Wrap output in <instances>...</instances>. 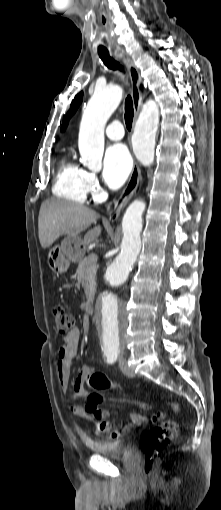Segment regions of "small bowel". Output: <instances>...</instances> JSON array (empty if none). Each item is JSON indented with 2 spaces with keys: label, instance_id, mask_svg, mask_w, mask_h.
<instances>
[{
  "label": "small bowel",
  "instance_id": "1",
  "mask_svg": "<svg viewBox=\"0 0 221 510\" xmlns=\"http://www.w3.org/2000/svg\"><path fill=\"white\" fill-rule=\"evenodd\" d=\"M80 341V331L78 328H74L69 335L64 339L63 345L58 349L57 352V376L59 386L63 392H67L70 385V374L73 366V362L77 356L78 346ZM95 372V366L88 363L82 367L79 371L74 384L73 389L77 396H86L91 389L88 385L89 376ZM143 409H148V405L145 404ZM72 413L75 416L90 420V416L87 412L86 406L75 405L72 406ZM161 413V412H159ZM130 417L133 424H127L120 429L110 430L108 422L103 423L101 432H108V439L116 440L126 435L133 427V425H140L147 421V417L138 412H132Z\"/></svg>",
  "mask_w": 221,
  "mask_h": 510
}]
</instances>
